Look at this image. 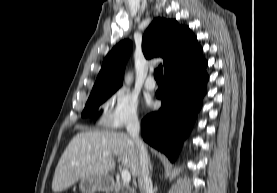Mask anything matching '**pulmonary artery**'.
Here are the masks:
<instances>
[{
    "instance_id": "e3ab8cb5",
    "label": "pulmonary artery",
    "mask_w": 277,
    "mask_h": 193,
    "mask_svg": "<svg viewBox=\"0 0 277 193\" xmlns=\"http://www.w3.org/2000/svg\"><path fill=\"white\" fill-rule=\"evenodd\" d=\"M145 88L147 90H154L156 88V82L152 75H149L145 81Z\"/></svg>"
}]
</instances>
